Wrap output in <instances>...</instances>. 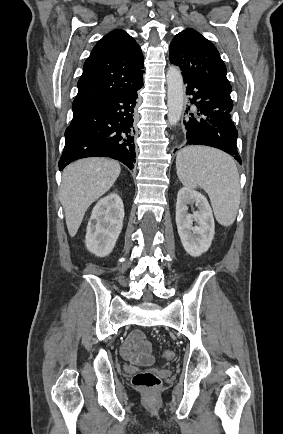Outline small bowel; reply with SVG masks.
Here are the masks:
<instances>
[{
  "label": "small bowel",
  "mask_w": 283,
  "mask_h": 434,
  "mask_svg": "<svg viewBox=\"0 0 283 434\" xmlns=\"http://www.w3.org/2000/svg\"><path fill=\"white\" fill-rule=\"evenodd\" d=\"M120 354L123 359L136 365L146 366L153 361L152 345L141 330H134L126 337L120 347Z\"/></svg>",
  "instance_id": "small-bowel-1"
}]
</instances>
